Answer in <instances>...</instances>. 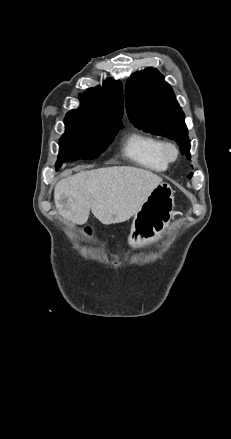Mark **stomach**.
<instances>
[{
	"mask_svg": "<svg viewBox=\"0 0 231 439\" xmlns=\"http://www.w3.org/2000/svg\"><path fill=\"white\" fill-rule=\"evenodd\" d=\"M174 192L166 182L153 189L134 216L128 240L130 245L151 244L161 237L173 218Z\"/></svg>",
	"mask_w": 231,
	"mask_h": 439,
	"instance_id": "0dacf381",
	"label": "stomach"
}]
</instances>
